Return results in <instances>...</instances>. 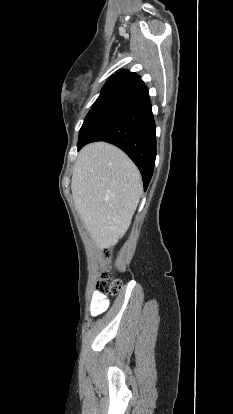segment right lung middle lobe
I'll use <instances>...</instances> for the list:
<instances>
[{"mask_svg": "<svg viewBox=\"0 0 233 414\" xmlns=\"http://www.w3.org/2000/svg\"><path fill=\"white\" fill-rule=\"evenodd\" d=\"M133 84L134 82L131 80H126L120 77L112 76L104 85L99 97L93 104L92 108L100 102L104 101L105 99L125 91L126 89L130 88Z\"/></svg>", "mask_w": 233, "mask_h": 414, "instance_id": "dd1d6c3e", "label": "right lung middle lobe"}]
</instances>
